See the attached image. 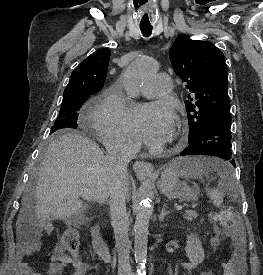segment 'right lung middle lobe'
Masks as SVG:
<instances>
[{
	"instance_id": "right-lung-middle-lobe-1",
	"label": "right lung middle lobe",
	"mask_w": 263,
	"mask_h": 275,
	"mask_svg": "<svg viewBox=\"0 0 263 275\" xmlns=\"http://www.w3.org/2000/svg\"><path fill=\"white\" fill-rule=\"evenodd\" d=\"M88 97L89 95L85 93H78L71 96L63 97L59 116L57 117L55 124L51 128L50 134L58 130L77 128V111L80 110Z\"/></svg>"
}]
</instances>
